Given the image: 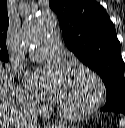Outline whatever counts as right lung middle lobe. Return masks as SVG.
Returning <instances> with one entry per match:
<instances>
[{
  "label": "right lung middle lobe",
  "instance_id": "right-lung-middle-lobe-1",
  "mask_svg": "<svg viewBox=\"0 0 125 128\" xmlns=\"http://www.w3.org/2000/svg\"><path fill=\"white\" fill-rule=\"evenodd\" d=\"M0 61H1V62H8L9 60H8V59H5V60H1V59H0ZM3 67H5V64H3Z\"/></svg>",
  "mask_w": 125,
  "mask_h": 128
}]
</instances>
